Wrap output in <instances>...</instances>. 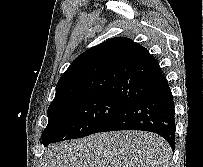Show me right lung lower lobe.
Segmentation results:
<instances>
[{"instance_id": "obj_1", "label": "right lung lower lobe", "mask_w": 203, "mask_h": 167, "mask_svg": "<svg viewBox=\"0 0 203 167\" xmlns=\"http://www.w3.org/2000/svg\"><path fill=\"white\" fill-rule=\"evenodd\" d=\"M117 130L154 132L174 149L176 123L174 102L168 82L162 88L134 100L98 132Z\"/></svg>"}]
</instances>
